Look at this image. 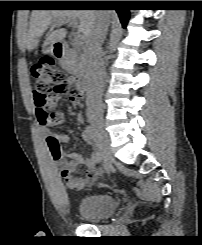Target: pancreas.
Listing matches in <instances>:
<instances>
[{
	"mask_svg": "<svg viewBox=\"0 0 202 245\" xmlns=\"http://www.w3.org/2000/svg\"><path fill=\"white\" fill-rule=\"evenodd\" d=\"M61 66L70 74L77 75L83 69V62L78 51L71 50L62 60Z\"/></svg>",
	"mask_w": 202,
	"mask_h": 245,
	"instance_id": "obj_1",
	"label": "pancreas"
}]
</instances>
